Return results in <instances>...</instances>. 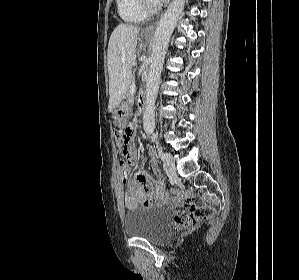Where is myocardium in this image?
<instances>
[{
  "label": "myocardium",
  "instance_id": "myocardium-1",
  "mask_svg": "<svg viewBox=\"0 0 299 280\" xmlns=\"http://www.w3.org/2000/svg\"><path fill=\"white\" fill-rule=\"evenodd\" d=\"M141 9L147 14H155L159 11V4H151L149 0H138Z\"/></svg>",
  "mask_w": 299,
  "mask_h": 280
}]
</instances>
